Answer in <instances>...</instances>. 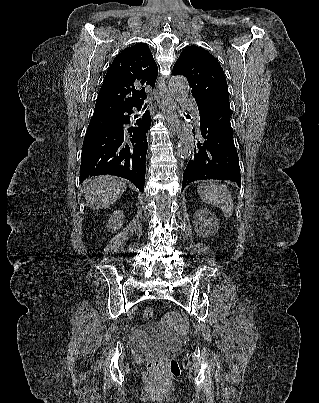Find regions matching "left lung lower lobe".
I'll return each mask as SVG.
<instances>
[{"label": "left lung lower lobe", "instance_id": "1", "mask_svg": "<svg viewBox=\"0 0 319 403\" xmlns=\"http://www.w3.org/2000/svg\"><path fill=\"white\" fill-rule=\"evenodd\" d=\"M197 106L200 140L184 171L182 187L199 179L230 180L240 186L239 159L233 141L229 104L207 101L197 102Z\"/></svg>", "mask_w": 319, "mask_h": 403}]
</instances>
